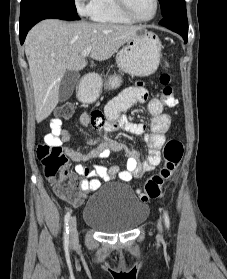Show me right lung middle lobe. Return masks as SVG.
Returning <instances> with one entry per match:
<instances>
[{
  "instance_id": "1",
  "label": "right lung middle lobe",
  "mask_w": 227,
  "mask_h": 279,
  "mask_svg": "<svg viewBox=\"0 0 227 279\" xmlns=\"http://www.w3.org/2000/svg\"><path fill=\"white\" fill-rule=\"evenodd\" d=\"M32 1H34V0H21V9L26 7ZM54 1L60 2L63 6L69 8V9H71L73 11H77L76 7H75L74 0H54Z\"/></svg>"
}]
</instances>
